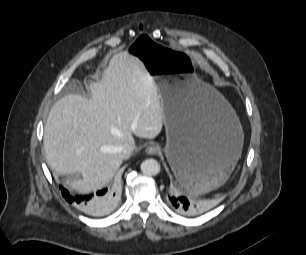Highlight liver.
<instances>
[{
	"mask_svg": "<svg viewBox=\"0 0 306 255\" xmlns=\"http://www.w3.org/2000/svg\"><path fill=\"white\" fill-rule=\"evenodd\" d=\"M91 95L68 94L51 108L44 128L47 162L68 176L65 185L80 193L104 187L134 144L133 134L153 139L163 127V108L154 79L136 56L115 54Z\"/></svg>",
	"mask_w": 306,
	"mask_h": 255,
	"instance_id": "6515ba94",
	"label": "liver"
}]
</instances>
